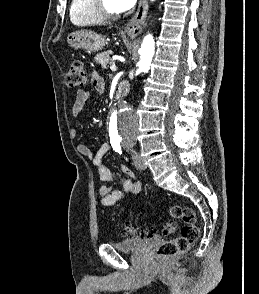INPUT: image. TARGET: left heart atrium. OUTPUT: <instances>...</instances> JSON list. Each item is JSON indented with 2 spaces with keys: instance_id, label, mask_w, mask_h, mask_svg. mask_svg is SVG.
<instances>
[{
  "instance_id": "39dd6f15",
  "label": "left heart atrium",
  "mask_w": 259,
  "mask_h": 294,
  "mask_svg": "<svg viewBox=\"0 0 259 294\" xmlns=\"http://www.w3.org/2000/svg\"><path fill=\"white\" fill-rule=\"evenodd\" d=\"M137 0H114L116 7L119 11H126L131 9Z\"/></svg>"
}]
</instances>
